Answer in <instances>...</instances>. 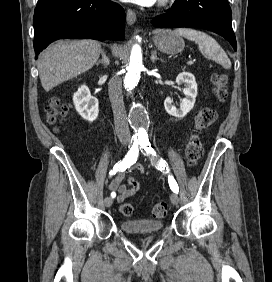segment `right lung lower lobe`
Wrapping results in <instances>:
<instances>
[{
    "instance_id": "1",
    "label": "right lung lower lobe",
    "mask_w": 272,
    "mask_h": 282,
    "mask_svg": "<svg viewBox=\"0 0 272 282\" xmlns=\"http://www.w3.org/2000/svg\"><path fill=\"white\" fill-rule=\"evenodd\" d=\"M124 23L123 8L110 0H38L33 19L35 54L61 38L123 40Z\"/></svg>"
}]
</instances>
